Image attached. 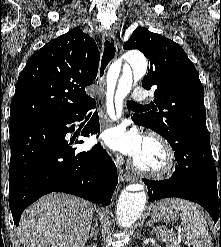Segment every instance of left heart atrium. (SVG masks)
<instances>
[{"label":"left heart atrium","instance_id":"1","mask_svg":"<svg viewBox=\"0 0 221 247\" xmlns=\"http://www.w3.org/2000/svg\"><path fill=\"white\" fill-rule=\"evenodd\" d=\"M101 139L109 148L133 159L140 153L146 142V138L137 129H127L125 125L106 129L101 134Z\"/></svg>","mask_w":221,"mask_h":247}]
</instances>
